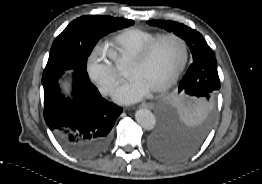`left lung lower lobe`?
I'll return each instance as SVG.
<instances>
[{"label": "left lung lower lobe", "instance_id": "left-lung-lower-lobe-1", "mask_svg": "<svg viewBox=\"0 0 262 184\" xmlns=\"http://www.w3.org/2000/svg\"><path fill=\"white\" fill-rule=\"evenodd\" d=\"M198 62L208 65L212 64L217 69L214 55L204 57ZM205 135L199 137L181 136L161 123L156 132L150 137L148 147L151 153L158 159L167 162H177L197 152L205 141Z\"/></svg>", "mask_w": 262, "mask_h": 184}]
</instances>
